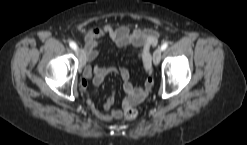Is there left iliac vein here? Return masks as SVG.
Wrapping results in <instances>:
<instances>
[{"label":"left iliac vein","mask_w":247,"mask_h":145,"mask_svg":"<svg viewBox=\"0 0 247 145\" xmlns=\"http://www.w3.org/2000/svg\"><path fill=\"white\" fill-rule=\"evenodd\" d=\"M162 56V49L157 48L153 53V63L158 65Z\"/></svg>","instance_id":"obj_1"}]
</instances>
